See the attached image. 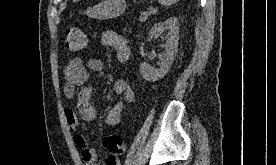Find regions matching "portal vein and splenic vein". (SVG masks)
<instances>
[{
    "label": "portal vein and splenic vein",
    "mask_w": 276,
    "mask_h": 165,
    "mask_svg": "<svg viewBox=\"0 0 276 165\" xmlns=\"http://www.w3.org/2000/svg\"><path fill=\"white\" fill-rule=\"evenodd\" d=\"M148 18V12H144L141 14V16L139 17L140 21H145Z\"/></svg>",
    "instance_id": "portal-vein-and-splenic-vein-1"
}]
</instances>
